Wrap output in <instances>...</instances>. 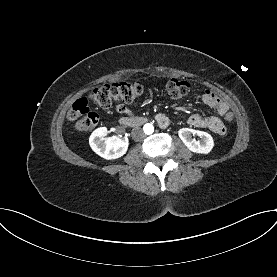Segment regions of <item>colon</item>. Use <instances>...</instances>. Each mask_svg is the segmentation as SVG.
<instances>
[{
    "label": "colon",
    "mask_w": 277,
    "mask_h": 277,
    "mask_svg": "<svg viewBox=\"0 0 277 277\" xmlns=\"http://www.w3.org/2000/svg\"><path fill=\"white\" fill-rule=\"evenodd\" d=\"M145 90V84L138 81L118 82L96 87L88 93L87 97H81L73 103L67 117L75 122V128L78 131H88L98 122V115L88 108L89 101L99 107L108 108L116 102L131 103L140 98ZM166 91L171 99L178 100L189 94L190 84L185 80L170 79L166 83ZM223 120L233 123L235 114L226 112Z\"/></svg>",
    "instance_id": "5ec220e1"
}]
</instances>
